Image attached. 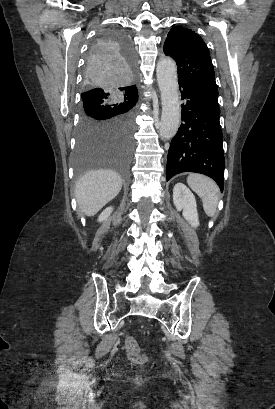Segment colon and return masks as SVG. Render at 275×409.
<instances>
[{
	"label": "colon",
	"instance_id": "5ec220e1",
	"mask_svg": "<svg viewBox=\"0 0 275 409\" xmlns=\"http://www.w3.org/2000/svg\"><path fill=\"white\" fill-rule=\"evenodd\" d=\"M125 351L127 358L136 364H145L148 361V356L143 353L137 343L132 337L125 339Z\"/></svg>",
	"mask_w": 275,
	"mask_h": 409
}]
</instances>
